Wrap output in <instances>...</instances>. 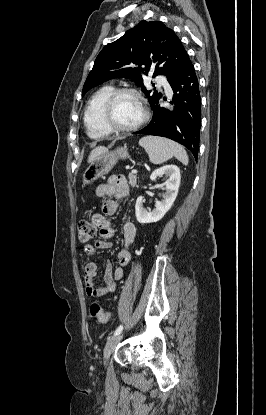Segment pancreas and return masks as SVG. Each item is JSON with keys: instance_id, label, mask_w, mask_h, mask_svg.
<instances>
[{"instance_id": "pancreas-1", "label": "pancreas", "mask_w": 266, "mask_h": 415, "mask_svg": "<svg viewBox=\"0 0 266 415\" xmlns=\"http://www.w3.org/2000/svg\"><path fill=\"white\" fill-rule=\"evenodd\" d=\"M129 183L131 186H135L137 182V176L135 174H129L128 176Z\"/></svg>"}]
</instances>
